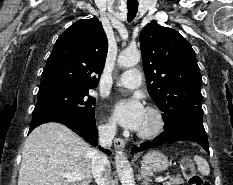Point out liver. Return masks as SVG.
Listing matches in <instances>:
<instances>
[{"instance_id": "6515ba94", "label": "liver", "mask_w": 233, "mask_h": 185, "mask_svg": "<svg viewBox=\"0 0 233 185\" xmlns=\"http://www.w3.org/2000/svg\"><path fill=\"white\" fill-rule=\"evenodd\" d=\"M97 150L60 123H45L25 140L17 185H68L63 174L84 178L72 185H89Z\"/></svg>"}]
</instances>
